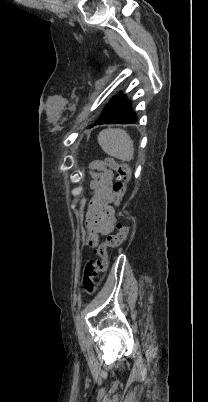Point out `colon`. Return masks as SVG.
Segmentation results:
<instances>
[{
	"label": "colon",
	"instance_id": "1",
	"mask_svg": "<svg viewBox=\"0 0 208 402\" xmlns=\"http://www.w3.org/2000/svg\"><path fill=\"white\" fill-rule=\"evenodd\" d=\"M106 164L108 168L116 175V182L113 184L114 203L120 205L126 195L128 184L131 178L130 166L126 162H118L114 158H107ZM131 227L129 224L120 225L118 231L106 238L99 245L97 253L99 259L96 261H88L85 265L82 283L84 288L92 293L95 290V280L99 274H104L108 270L109 256L108 248H114L121 245L130 236Z\"/></svg>",
	"mask_w": 208,
	"mask_h": 402
}]
</instances>
